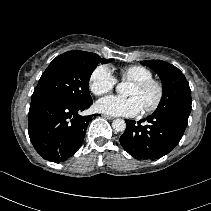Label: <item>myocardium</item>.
<instances>
[{
  "label": "myocardium",
  "mask_w": 211,
  "mask_h": 211,
  "mask_svg": "<svg viewBox=\"0 0 211 211\" xmlns=\"http://www.w3.org/2000/svg\"><path fill=\"white\" fill-rule=\"evenodd\" d=\"M134 85H136L140 89H146L148 87H155L156 88L157 96H156L155 101L152 104L143 108V110L145 112H148V113L156 111L160 107V105L163 101V98H164V85H163V83L158 79L150 78V79L135 81Z\"/></svg>",
  "instance_id": "obj_1"
}]
</instances>
